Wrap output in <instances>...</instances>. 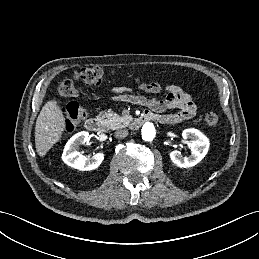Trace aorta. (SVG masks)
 I'll use <instances>...</instances> for the list:
<instances>
[{
    "label": "aorta",
    "mask_w": 259,
    "mask_h": 259,
    "mask_svg": "<svg viewBox=\"0 0 259 259\" xmlns=\"http://www.w3.org/2000/svg\"><path fill=\"white\" fill-rule=\"evenodd\" d=\"M142 139L145 141H152L156 136V130L151 122L144 123L141 130Z\"/></svg>",
    "instance_id": "1"
}]
</instances>
